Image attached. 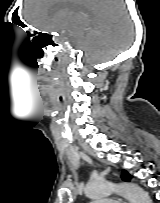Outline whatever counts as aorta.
<instances>
[{
	"label": "aorta",
	"instance_id": "aorta-1",
	"mask_svg": "<svg viewBox=\"0 0 160 203\" xmlns=\"http://www.w3.org/2000/svg\"><path fill=\"white\" fill-rule=\"evenodd\" d=\"M119 193L130 203H152L149 194L140 186L133 183H115L111 181H92L87 184L85 194L90 198H102Z\"/></svg>",
	"mask_w": 160,
	"mask_h": 203
}]
</instances>
